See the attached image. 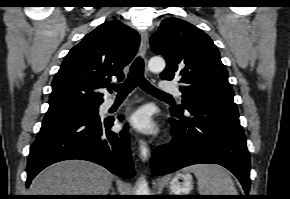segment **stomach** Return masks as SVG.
Here are the masks:
<instances>
[{"label": "stomach", "instance_id": "1", "mask_svg": "<svg viewBox=\"0 0 290 199\" xmlns=\"http://www.w3.org/2000/svg\"><path fill=\"white\" fill-rule=\"evenodd\" d=\"M193 178L187 172H178L170 181L173 195H187L192 190Z\"/></svg>", "mask_w": 290, "mask_h": 199}]
</instances>
